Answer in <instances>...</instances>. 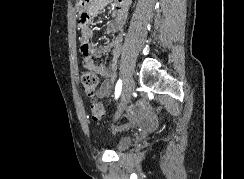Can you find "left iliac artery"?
Here are the masks:
<instances>
[{"mask_svg":"<svg viewBox=\"0 0 244 179\" xmlns=\"http://www.w3.org/2000/svg\"><path fill=\"white\" fill-rule=\"evenodd\" d=\"M121 90H122V80L119 79L115 86V98L116 99L120 96Z\"/></svg>","mask_w":244,"mask_h":179,"instance_id":"44dca946","label":"left iliac artery"}]
</instances>
